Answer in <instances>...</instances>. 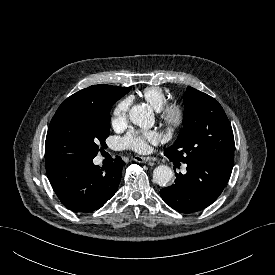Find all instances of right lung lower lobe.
Here are the masks:
<instances>
[{"label": "right lung lower lobe", "mask_w": 275, "mask_h": 275, "mask_svg": "<svg viewBox=\"0 0 275 275\" xmlns=\"http://www.w3.org/2000/svg\"><path fill=\"white\" fill-rule=\"evenodd\" d=\"M124 165L121 157L105 170L92 159H57L46 161V172L62 204L80 213L97 210L112 198Z\"/></svg>", "instance_id": "right-lung-lower-lobe-1"}]
</instances>
